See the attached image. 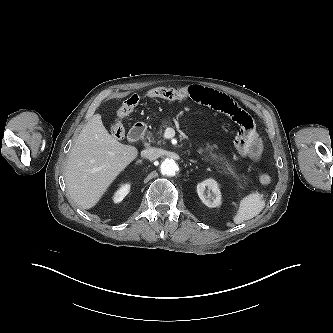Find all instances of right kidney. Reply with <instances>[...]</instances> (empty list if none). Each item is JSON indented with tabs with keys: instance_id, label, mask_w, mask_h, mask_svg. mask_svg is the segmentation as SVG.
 <instances>
[{
	"instance_id": "obj_1",
	"label": "right kidney",
	"mask_w": 333,
	"mask_h": 333,
	"mask_svg": "<svg viewBox=\"0 0 333 333\" xmlns=\"http://www.w3.org/2000/svg\"><path fill=\"white\" fill-rule=\"evenodd\" d=\"M130 191V184H124L122 185L114 194L113 201L115 203L121 202L124 197L129 193Z\"/></svg>"
}]
</instances>
